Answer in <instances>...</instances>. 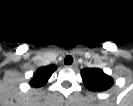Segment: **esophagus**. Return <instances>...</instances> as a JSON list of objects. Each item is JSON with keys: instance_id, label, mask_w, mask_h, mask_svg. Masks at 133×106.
Instances as JSON below:
<instances>
[{"instance_id": "obj_1", "label": "esophagus", "mask_w": 133, "mask_h": 106, "mask_svg": "<svg viewBox=\"0 0 133 106\" xmlns=\"http://www.w3.org/2000/svg\"><path fill=\"white\" fill-rule=\"evenodd\" d=\"M78 66L77 62H74L73 64L69 65V67L75 69Z\"/></svg>"}]
</instances>
